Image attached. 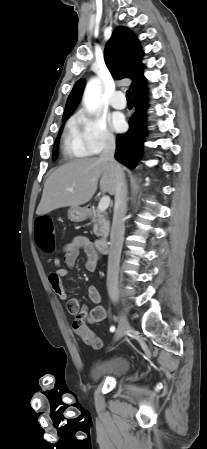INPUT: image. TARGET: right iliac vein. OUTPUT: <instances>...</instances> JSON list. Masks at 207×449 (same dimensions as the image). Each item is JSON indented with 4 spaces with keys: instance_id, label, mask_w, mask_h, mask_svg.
<instances>
[{
    "instance_id": "obj_1",
    "label": "right iliac vein",
    "mask_w": 207,
    "mask_h": 449,
    "mask_svg": "<svg viewBox=\"0 0 207 449\" xmlns=\"http://www.w3.org/2000/svg\"><path fill=\"white\" fill-rule=\"evenodd\" d=\"M130 328L129 322L125 316L121 315L119 320V325L117 331L115 333V341L119 340L123 337L126 330Z\"/></svg>"
}]
</instances>
